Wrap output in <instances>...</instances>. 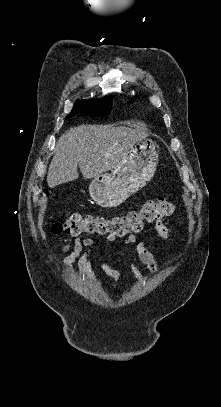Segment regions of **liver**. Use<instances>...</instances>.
<instances>
[{"instance_id":"obj_1","label":"liver","mask_w":221,"mask_h":407,"mask_svg":"<svg viewBox=\"0 0 221 407\" xmlns=\"http://www.w3.org/2000/svg\"><path fill=\"white\" fill-rule=\"evenodd\" d=\"M148 137L142 129L112 125H80L62 134L49 165L50 188L74 181L80 172L85 179L111 171L138 141Z\"/></svg>"}]
</instances>
